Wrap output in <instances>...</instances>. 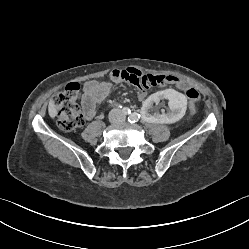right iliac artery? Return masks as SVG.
Listing matches in <instances>:
<instances>
[{"instance_id": "1", "label": "right iliac artery", "mask_w": 249, "mask_h": 249, "mask_svg": "<svg viewBox=\"0 0 249 249\" xmlns=\"http://www.w3.org/2000/svg\"><path fill=\"white\" fill-rule=\"evenodd\" d=\"M118 107L121 108L124 115H129L131 113V110L128 107H123L122 105H118Z\"/></svg>"}]
</instances>
